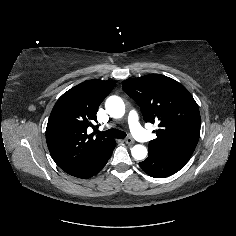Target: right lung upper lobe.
Listing matches in <instances>:
<instances>
[{
	"label": "right lung upper lobe",
	"mask_w": 236,
	"mask_h": 236,
	"mask_svg": "<svg viewBox=\"0 0 236 236\" xmlns=\"http://www.w3.org/2000/svg\"><path fill=\"white\" fill-rule=\"evenodd\" d=\"M116 82L88 80L65 92L50 114L46 141L56 164L66 173H83L114 142L87 134L97 122L96 111Z\"/></svg>",
	"instance_id": "right-lung-upper-lobe-1"
}]
</instances>
